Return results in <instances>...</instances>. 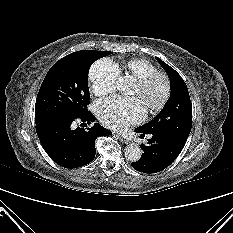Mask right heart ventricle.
<instances>
[{
  "instance_id": "e07e8e85",
  "label": "right heart ventricle",
  "mask_w": 233,
  "mask_h": 233,
  "mask_svg": "<svg viewBox=\"0 0 233 233\" xmlns=\"http://www.w3.org/2000/svg\"><path fill=\"white\" fill-rule=\"evenodd\" d=\"M117 67L119 70L132 75L136 79L157 71V68L150 61L142 58L129 59L123 62L120 67L118 65Z\"/></svg>"
}]
</instances>
